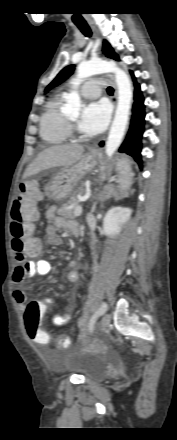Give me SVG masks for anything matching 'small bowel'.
Here are the masks:
<instances>
[{
    "label": "small bowel",
    "mask_w": 177,
    "mask_h": 440,
    "mask_svg": "<svg viewBox=\"0 0 177 440\" xmlns=\"http://www.w3.org/2000/svg\"><path fill=\"white\" fill-rule=\"evenodd\" d=\"M45 218L49 222V224L45 227L44 230L46 242L49 245L62 244L63 241L62 237L58 233L60 229L72 230L74 227L77 226L76 222L72 220H68L64 217L57 216L56 206H50L47 208V210L45 211ZM36 242L38 243V250H37L38 253L40 250V243L37 240ZM18 262L19 264L16 266L12 274V281L16 287H19L26 278L35 277L38 275H46L51 271V264L44 259H38L35 261H21L18 259ZM69 267L71 269L68 272L67 278L71 283L76 284L79 280V274L76 270L77 262L74 260L70 261ZM13 298L15 302L22 309H24L27 301L26 293L20 288H16L13 292ZM47 298H51V297H47ZM70 320H71L70 312H66L64 314L56 315L53 317V323L57 326L64 325L68 323Z\"/></svg>",
    "instance_id": "1"
}]
</instances>
